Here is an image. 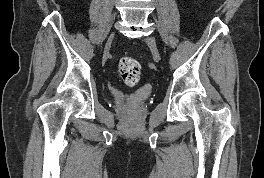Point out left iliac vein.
I'll return each instance as SVG.
<instances>
[{"instance_id": "4c4485c4", "label": "left iliac vein", "mask_w": 264, "mask_h": 178, "mask_svg": "<svg viewBox=\"0 0 264 178\" xmlns=\"http://www.w3.org/2000/svg\"><path fill=\"white\" fill-rule=\"evenodd\" d=\"M145 42L148 45V47L150 48L155 60H157V61L160 60V54H159V51L157 49L155 40L152 37H147L145 39Z\"/></svg>"}]
</instances>
